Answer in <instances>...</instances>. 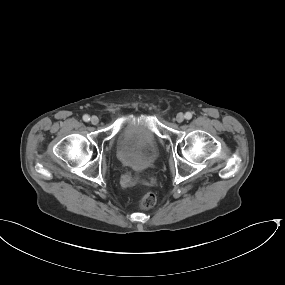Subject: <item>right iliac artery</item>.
Masks as SVG:
<instances>
[{
  "instance_id": "1",
  "label": "right iliac artery",
  "mask_w": 285,
  "mask_h": 285,
  "mask_svg": "<svg viewBox=\"0 0 285 285\" xmlns=\"http://www.w3.org/2000/svg\"><path fill=\"white\" fill-rule=\"evenodd\" d=\"M83 120H84L85 122H88V121L90 120V116L87 115V114H85V115L83 116Z\"/></svg>"
}]
</instances>
